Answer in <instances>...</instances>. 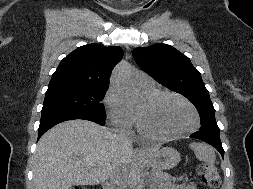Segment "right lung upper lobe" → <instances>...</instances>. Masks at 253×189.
<instances>
[{
	"instance_id": "obj_1",
	"label": "right lung upper lobe",
	"mask_w": 253,
	"mask_h": 189,
	"mask_svg": "<svg viewBox=\"0 0 253 189\" xmlns=\"http://www.w3.org/2000/svg\"><path fill=\"white\" fill-rule=\"evenodd\" d=\"M123 50L100 44L81 46L66 56L52 75L48 88L62 86L109 87V76Z\"/></svg>"
}]
</instances>
